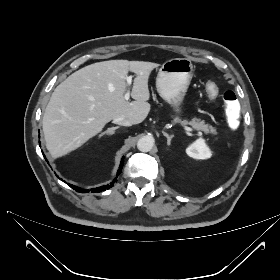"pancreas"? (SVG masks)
I'll list each match as a JSON object with an SVG mask.
<instances>
[{"label":"pancreas","instance_id":"obj_1","mask_svg":"<svg viewBox=\"0 0 280 280\" xmlns=\"http://www.w3.org/2000/svg\"><path fill=\"white\" fill-rule=\"evenodd\" d=\"M173 122L174 123L189 124L194 129L201 130L205 134H212V135H216L217 134V131H216V129L213 126H211L209 124H205L204 121H201L200 119H197V118H193L191 121H187V120H181L179 117H175L173 119Z\"/></svg>","mask_w":280,"mask_h":280}]
</instances>
